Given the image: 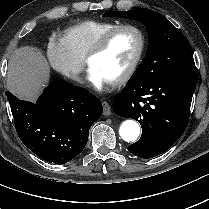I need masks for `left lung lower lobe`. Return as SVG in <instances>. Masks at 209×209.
I'll return each instance as SVG.
<instances>
[{
	"label": "left lung lower lobe",
	"instance_id": "1",
	"mask_svg": "<svg viewBox=\"0 0 209 209\" xmlns=\"http://www.w3.org/2000/svg\"><path fill=\"white\" fill-rule=\"evenodd\" d=\"M195 88V65L156 79L130 78L113 100L115 114L142 127L141 138L127 149L145 159L167 151L186 129Z\"/></svg>",
	"mask_w": 209,
	"mask_h": 209
}]
</instances>
